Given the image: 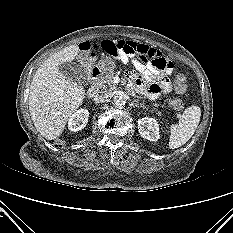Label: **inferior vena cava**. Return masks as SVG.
I'll use <instances>...</instances> for the list:
<instances>
[{"label":"inferior vena cava","mask_w":233,"mask_h":233,"mask_svg":"<svg viewBox=\"0 0 233 233\" xmlns=\"http://www.w3.org/2000/svg\"><path fill=\"white\" fill-rule=\"evenodd\" d=\"M109 98V94L108 93H97L94 97V101L96 103H103L105 102L107 99Z\"/></svg>","instance_id":"inferior-vena-cava-1"}]
</instances>
